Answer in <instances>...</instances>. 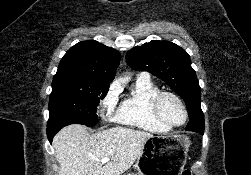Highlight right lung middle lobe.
<instances>
[{
    "label": "right lung middle lobe",
    "instance_id": "obj_1",
    "mask_svg": "<svg viewBox=\"0 0 251 175\" xmlns=\"http://www.w3.org/2000/svg\"><path fill=\"white\" fill-rule=\"evenodd\" d=\"M109 87L89 86L53 80L49 98L50 126L83 124L93 127L98 122L96 108Z\"/></svg>",
    "mask_w": 251,
    "mask_h": 175
}]
</instances>
